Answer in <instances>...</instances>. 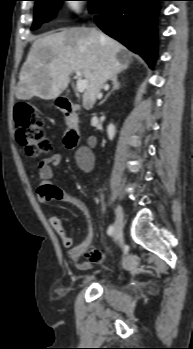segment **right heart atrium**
I'll return each mask as SVG.
<instances>
[{"mask_svg":"<svg viewBox=\"0 0 193 349\" xmlns=\"http://www.w3.org/2000/svg\"><path fill=\"white\" fill-rule=\"evenodd\" d=\"M66 8L69 12L74 14H80L83 10L82 3L78 0L66 1Z\"/></svg>","mask_w":193,"mask_h":349,"instance_id":"obj_1","label":"right heart atrium"}]
</instances>
